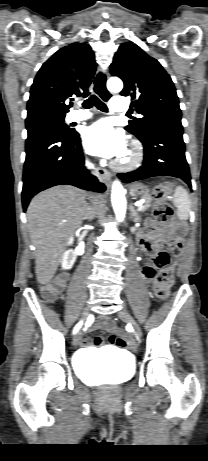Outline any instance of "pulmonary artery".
I'll list each match as a JSON object with an SVG mask.
<instances>
[{
  "label": "pulmonary artery",
  "instance_id": "pulmonary-artery-1",
  "mask_svg": "<svg viewBox=\"0 0 208 461\" xmlns=\"http://www.w3.org/2000/svg\"><path fill=\"white\" fill-rule=\"evenodd\" d=\"M110 109L115 113H123L127 111L128 106L124 97H113L110 102ZM91 117L89 112L78 113L75 112L71 114L70 121L78 122L83 121Z\"/></svg>",
  "mask_w": 208,
  "mask_h": 461
}]
</instances>
